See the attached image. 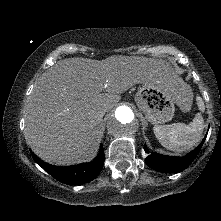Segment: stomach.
<instances>
[{
	"mask_svg": "<svg viewBox=\"0 0 221 221\" xmlns=\"http://www.w3.org/2000/svg\"><path fill=\"white\" fill-rule=\"evenodd\" d=\"M188 85L172 75L168 81H149L142 83L135 102L152 124L158 125L170 121L175 112V105L188 111L192 103Z\"/></svg>",
	"mask_w": 221,
	"mask_h": 221,
	"instance_id": "obj_1",
	"label": "stomach"
}]
</instances>
